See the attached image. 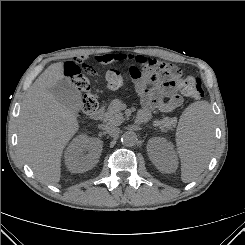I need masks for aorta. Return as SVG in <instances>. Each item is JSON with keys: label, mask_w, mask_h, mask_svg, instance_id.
Wrapping results in <instances>:
<instances>
[{"label": "aorta", "mask_w": 245, "mask_h": 245, "mask_svg": "<svg viewBox=\"0 0 245 245\" xmlns=\"http://www.w3.org/2000/svg\"><path fill=\"white\" fill-rule=\"evenodd\" d=\"M137 139V135L133 131H126L121 136V142L126 146H133L136 144Z\"/></svg>", "instance_id": "aorta-1"}]
</instances>
